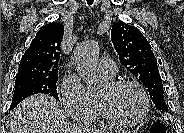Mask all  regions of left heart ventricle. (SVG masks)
Segmentation results:
<instances>
[{
  "label": "left heart ventricle",
  "instance_id": "b2bd125f",
  "mask_svg": "<svg viewBox=\"0 0 184 133\" xmlns=\"http://www.w3.org/2000/svg\"><path fill=\"white\" fill-rule=\"evenodd\" d=\"M97 97L112 116L121 119L135 118L143 108L142 97L133 87L113 89L107 83Z\"/></svg>",
  "mask_w": 184,
  "mask_h": 133
}]
</instances>
